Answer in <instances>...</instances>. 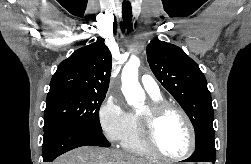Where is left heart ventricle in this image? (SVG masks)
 <instances>
[{
	"instance_id": "1",
	"label": "left heart ventricle",
	"mask_w": 251,
	"mask_h": 164,
	"mask_svg": "<svg viewBox=\"0 0 251 164\" xmlns=\"http://www.w3.org/2000/svg\"><path fill=\"white\" fill-rule=\"evenodd\" d=\"M156 139L160 149L169 156L177 157L186 153L190 134L181 115L175 111L167 112L158 123Z\"/></svg>"
}]
</instances>
